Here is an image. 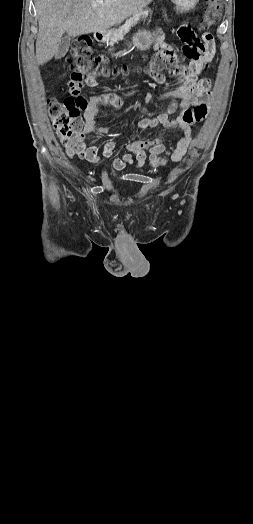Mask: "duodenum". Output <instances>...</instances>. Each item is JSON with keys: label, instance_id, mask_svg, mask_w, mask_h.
<instances>
[{"label": "duodenum", "instance_id": "duodenum-1", "mask_svg": "<svg viewBox=\"0 0 253 524\" xmlns=\"http://www.w3.org/2000/svg\"><path fill=\"white\" fill-rule=\"evenodd\" d=\"M95 36L98 40H101L105 36V34L103 32H96Z\"/></svg>", "mask_w": 253, "mask_h": 524}]
</instances>
